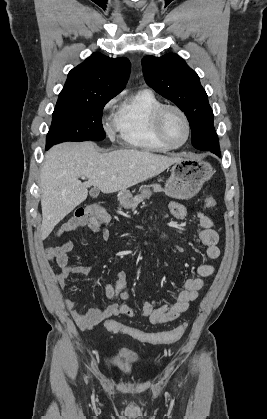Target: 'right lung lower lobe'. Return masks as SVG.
<instances>
[{
    "instance_id": "98d812e1",
    "label": "right lung lower lobe",
    "mask_w": 267,
    "mask_h": 419,
    "mask_svg": "<svg viewBox=\"0 0 267 419\" xmlns=\"http://www.w3.org/2000/svg\"><path fill=\"white\" fill-rule=\"evenodd\" d=\"M46 149H49V147L46 145Z\"/></svg>"
}]
</instances>
